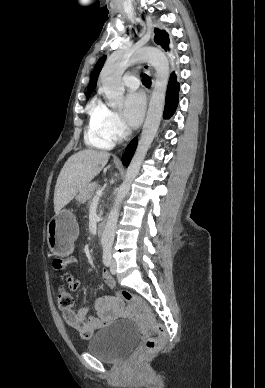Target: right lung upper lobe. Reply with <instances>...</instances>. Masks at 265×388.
<instances>
[{
    "instance_id": "cb5924a9",
    "label": "right lung upper lobe",
    "mask_w": 265,
    "mask_h": 388,
    "mask_svg": "<svg viewBox=\"0 0 265 388\" xmlns=\"http://www.w3.org/2000/svg\"><path fill=\"white\" fill-rule=\"evenodd\" d=\"M105 59H106V57L104 56L101 59H99V61L96 63L94 70H93L91 77H90V82H89L87 94H89L90 92H92L95 89L96 84H97V78H98V75L103 67Z\"/></svg>"
}]
</instances>
